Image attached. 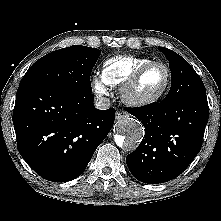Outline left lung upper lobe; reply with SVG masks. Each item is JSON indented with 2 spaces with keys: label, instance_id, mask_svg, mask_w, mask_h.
<instances>
[{
  "label": "left lung upper lobe",
  "instance_id": "5c2ea615",
  "mask_svg": "<svg viewBox=\"0 0 221 221\" xmlns=\"http://www.w3.org/2000/svg\"><path fill=\"white\" fill-rule=\"evenodd\" d=\"M159 49L169 61L172 79L170 91L164 101L175 103L185 97L206 95L201 78L183 57L168 48Z\"/></svg>",
  "mask_w": 221,
  "mask_h": 221
}]
</instances>
